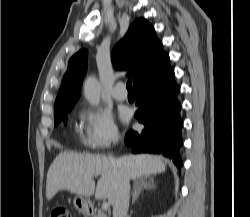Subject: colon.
Wrapping results in <instances>:
<instances>
[{"instance_id":"1","label":"colon","mask_w":250,"mask_h":217,"mask_svg":"<svg viewBox=\"0 0 250 217\" xmlns=\"http://www.w3.org/2000/svg\"><path fill=\"white\" fill-rule=\"evenodd\" d=\"M50 217H72V214L66 206L57 205L52 208Z\"/></svg>"}]
</instances>
